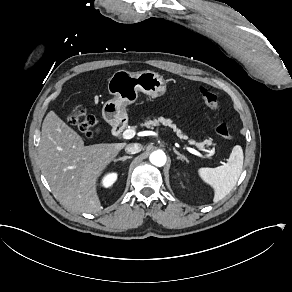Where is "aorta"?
<instances>
[{
	"mask_svg": "<svg viewBox=\"0 0 292 292\" xmlns=\"http://www.w3.org/2000/svg\"><path fill=\"white\" fill-rule=\"evenodd\" d=\"M150 162L155 166H163L166 163V155L162 151H155L150 155Z\"/></svg>",
	"mask_w": 292,
	"mask_h": 292,
	"instance_id": "1",
	"label": "aorta"
}]
</instances>
